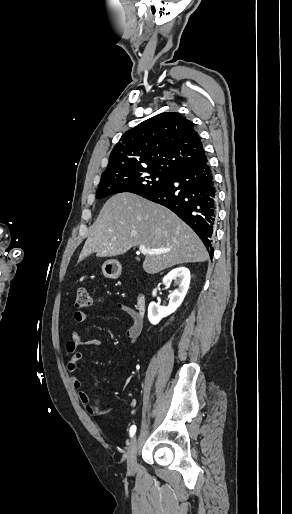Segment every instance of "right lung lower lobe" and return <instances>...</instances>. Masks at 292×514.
I'll use <instances>...</instances> for the list:
<instances>
[{
  "instance_id": "obj_1",
  "label": "right lung lower lobe",
  "mask_w": 292,
  "mask_h": 514,
  "mask_svg": "<svg viewBox=\"0 0 292 514\" xmlns=\"http://www.w3.org/2000/svg\"><path fill=\"white\" fill-rule=\"evenodd\" d=\"M142 196L172 210L197 233L207 249L211 248L217 194L206 156L176 171L162 186Z\"/></svg>"
}]
</instances>
